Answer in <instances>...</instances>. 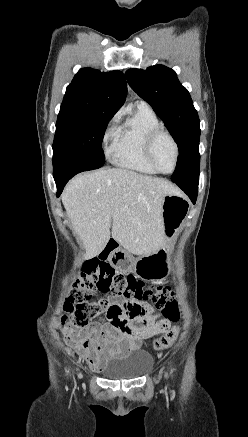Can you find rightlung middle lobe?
Here are the masks:
<instances>
[{
    "instance_id": "obj_1",
    "label": "right lung middle lobe",
    "mask_w": 248,
    "mask_h": 437,
    "mask_svg": "<svg viewBox=\"0 0 248 437\" xmlns=\"http://www.w3.org/2000/svg\"><path fill=\"white\" fill-rule=\"evenodd\" d=\"M113 116L60 110L53 143V166L84 163L100 168L105 163L102 140Z\"/></svg>"
}]
</instances>
